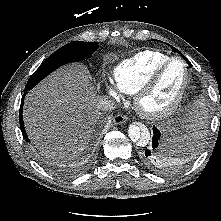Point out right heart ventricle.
Here are the masks:
<instances>
[{
    "label": "right heart ventricle",
    "mask_w": 221,
    "mask_h": 221,
    "mask_svg": "<svg viewBox=\"0 0 221 221\" xmlns=\"http://www.w3.org/2000/svg\"><path fill=\"white\" fill-rule=\"evenodd\" d=\"M170 57L162 52L145 50L121 61L113 76L119 88L127 94H135L149 77Z\"/></svg>",
    "instance_id": "e07e8e85"
}]
</instances>
